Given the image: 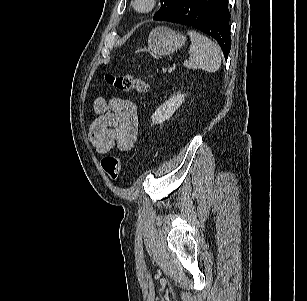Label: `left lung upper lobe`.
Masks as SVG:
<instances>
[{
  "label": "left lung upper lobe",
  "instance_id": "1",
  "mask_svg": "<svg viewBox=\"0 0 307 301\" xmlns=\"http://www.w3.org/2000/svg\"><path fill=\"white\" fill-rule=\"evenodd\" d=\"M162 5L159 11L154 15L153 19L158 20L167 14L178 3L179 0H160Z\"/></svg>",
  "mask_w": 307,
  "mask_h": 301
}]
</instances>
